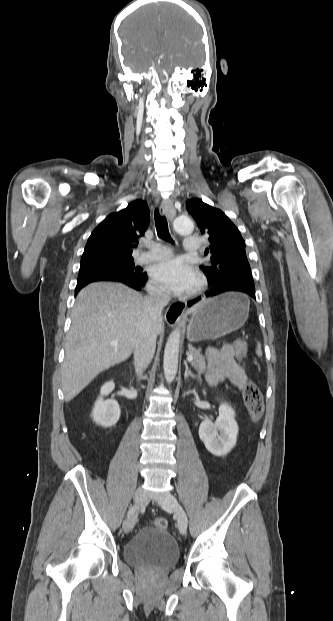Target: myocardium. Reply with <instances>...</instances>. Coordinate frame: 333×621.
<instances>
[{
    "instance_id": "1",
    "label": "myocardium",
    "mask_w": 333,
    "mask_h": 621,
    "mask_svg": "<svg viewBox=\"0 0 333 621\" xmlns=\"http://www.w3.org/2000/svg\"><path fill=\"white\" fill-rule=\"evenodd\" d=\"M206 287H207V283H206L205 279L202 278V277H199L198 281H197V284L195 286V289L193 291V294L194 295H198V294L203 293L205 291Z\"/></svg>"
}]
</instances>
